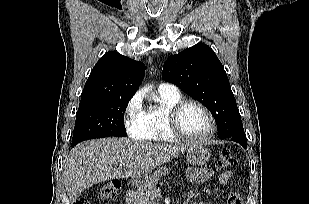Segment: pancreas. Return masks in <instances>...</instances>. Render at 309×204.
<instances>
[{"label":"pancreas","mask_w":309,"mask_h":204,"mask_svg":"<svg viewBox=\"0 0 309 204\" xmlns=\"http://www.w3.org/2000/svg\"><path fill=\"white\" fill-rule=\"evenodd\" d=\"M170 169L167 167H160L153 174L149 175L147 179L140 185L139 190L133 192L134 197L140 202V204H152L153 191L160 178L167 173Z\"/></svg>","instance_id":"1"}]
</instances>
